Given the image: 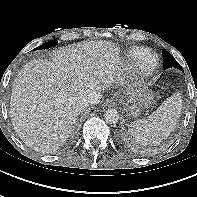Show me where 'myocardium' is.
Masks as SVG:
<instances>
[{"instance_id":"f54148a6","label":"myocardium","mask_w":197,"mask_h":197,"mask_svg":"<svg viewBox=\"0 0 197 197\" xmlns=\"http://www.w3.org/2000/svg\"><path fill=\"white\" fill-rule=\"evenodd\" d=\"M158 67L159 57L154 53H148L137 63L136 73L139 77L146 78L154 74Z\"/></svg>"}]
</instances>
